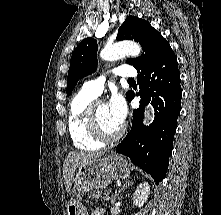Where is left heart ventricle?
Wrapping results in <instances>:
<instances>
[{
    "label": "left heart ventricle",
    "instance_id": "b2bd125f",
    "mask_svg": "<svg viewBox=\"0 0 221 215\" xmlns=\"http://www.w3.org/2000/svg\"><path fill=\"white\" fill-rule=\"evenodd\" d=\"M97 114L99 123L106 133L113 134L120 129L121 125H118L111 117L108 104L100 105Z\"/></svg>",
    "mask_w": 221,
    "mask_h": 215
}]
</instances>
